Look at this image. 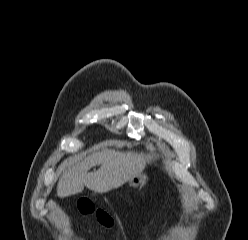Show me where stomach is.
<instances>
[{
    "mask_svg": "<svg viewBox=\"0 0 248 240\" xmlns=\"http://www.w3.org/2000/svg\"><path fill=\"white\" fill-rule=\"evenodd\" d=\"M148 180V177L145 174H138L134 177H132L128 183L132 187H142L144 184H146Z\"/></svg>",
    "mask_w": 248,
    "mask_h": 240,
    "instance_id": "1",
    "label": "stomach"
}]
</instances>
